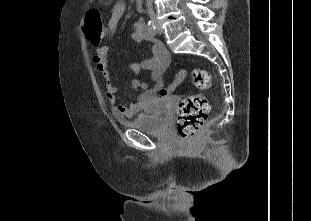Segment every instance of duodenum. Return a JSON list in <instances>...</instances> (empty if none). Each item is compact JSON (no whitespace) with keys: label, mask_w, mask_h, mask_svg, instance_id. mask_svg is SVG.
Here are the masks:
<instances>
[{"label":"duodenum","mask_w":311,"mask_h":221,"mask_svg":"<svg viewBox=\"0 0 311 221\" xmlns=\"http://www.w3.org/2000/svg\"><path fill=\"white\" fill-rule=\"evenodd\" d=\"M135 3H136L137 9L143 10L144 4H145V0H135ZM140 25L142 27H144L145 26V21L141 20L140 21Z\"/></svg>","instance_id":"duodenum-1"}]
</instances>
